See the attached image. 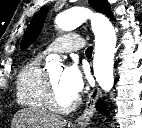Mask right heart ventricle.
<instances>
[{
    "label": "right heart ventricle",
    "instance_id": "1",
    "mask_svg": "<svg viewBox=\"0 0 142 128\" xmlns=\"http://www.w3.org/2000/svg\"><path fill=\"white\" fill-rule=\"evenodd\" d=\"M39 55L26 63L17 76V101L31 109L49 108L46 93V72Z\"/></svg>",
    "mask_w": 142,
    "mask_h": 128
}]
</instances>
